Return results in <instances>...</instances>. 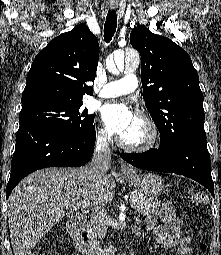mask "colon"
<instances>
[{"label": "colon", "instance_id": "1", "mask_svg": "<svg viewBox=\"0 0 221 255\" xmlns=\"http://www.w3.org/2000/svg\"><path fill=\"white\" fill-rule=\"evenodd\" d=\"M192 203L196 206H204L207 203V198L204 193L196 192L192 195ZM205 247L202 246V249ZM33 255H50L48 252H35Z\"/></svg>", "mask_w": 221, "mask_h": 255}]
</instances>
